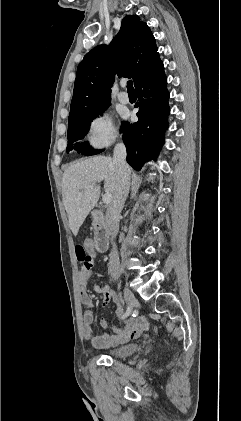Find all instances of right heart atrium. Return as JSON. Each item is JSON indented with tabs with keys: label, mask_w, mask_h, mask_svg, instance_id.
<instances>
[{
	"label": "right heart atrium",
	"mask_w": 241,
	"mask_h": 421,
	"mask_svg": "<svg viewBox=\"0 0 241 421\" xmlns=\"http://www.w3.org/2000/svg\"><path fill=\"white\" fill-rule=\"evenodd\" d=\"M117 137L116 125L106 112L97 114L88 124L87 140L94 149H103L109 146Z\"/></svg>",
	"instance_id": "d8ad5b80"
}]
</instances>
